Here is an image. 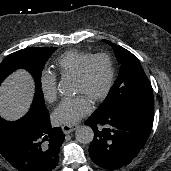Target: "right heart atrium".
Segmentation results:
<instances>
[{
	"instance_id": "obj_1",
	"label": "right heart atrium",
	"mask_w": 171,
	"mask_h": 171,
	"mask_svg": "<svg viewBox=\"0 0 171 171\" xmlns=\"http://www.w3.org/2000/svg\"><path fill=\"white\" fill-rule=\"evenodd\" d=\"M39 87L46 102L52 103L57 98V79L55 74L43 71L39 78Z\"/></svg>"
}]
</instances>
